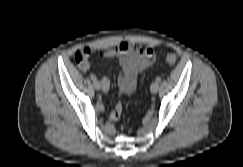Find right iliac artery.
I'll return each instance as SVG.
<instances>
[{"mask_svg":"<svg viewBox=\"0 0 243 167\" xmlns=\"http://www.w3.org/2000/svg\"><path fill=\"white\" fill-rule=\"evenodd\" d=\"M91 79L93 80V81H96V76L95 75H91Z\"/></svg>","mask_w":243,"mask_h":167,"instance_id":"1","label":"right iliac artery"}]
</instances>
